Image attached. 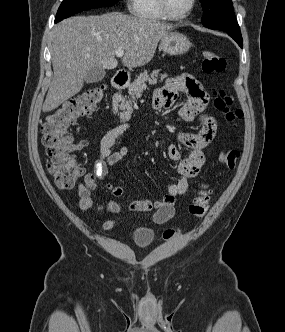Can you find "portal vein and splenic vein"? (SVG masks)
Returning a JSON list of instances; mask_svg holds the SVG:
<instances>
[{
	"label": "portal vein and splenic vein",
	"mask_w": 285,
	"mask_h": 332,
	"mask_svg": "<svg viewBox=\"0 0 285 332\" xmlns=\"http://www.w3.org/2000/svg\"><path fill=\"white\" fill-rule=\"evenodd\" d=\"M115 55H116L117 57H122V56L124 55V51H123V50H117V51L115 52Z\"/></svg>",
	"instance_id": "portal-vein-and-splenic-vein-1"
}]
</instances>
